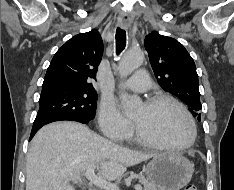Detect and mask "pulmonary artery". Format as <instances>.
Masks as SVG:
<instances>
[{
	"label": "pulmonary artery",
	"instance_id": "obj_1",
	"mask_svg": "<svg viewBox=\"0 0 234 190\" xmlns=\"http://www.w3.org/2000/svg\"><path fill=\"white\" fill-rule=\"evenodd\" d=\"M150 84V79L144 69H139L133 77L121 83L122 86L139 92L146 91L150 87Z\"/></svg>",
	"mask_w": 234,
	"mask_h": 190
}]
</instances>
